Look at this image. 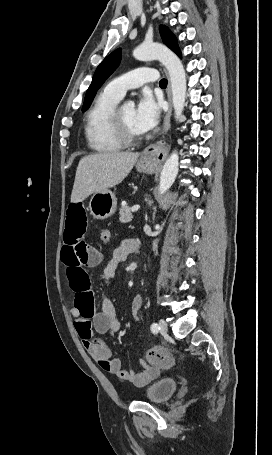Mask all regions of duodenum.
<instances>
[{"mask_svg": "<svg viewBox=\"0 0 272 455\" xmlns=\"http://www.w3.org/2000/svg\"><path fill=\"white\" fill-rule=\"evenodd\" d=\"M132 251H133V253H135L137 255L140 254V252H141L139 244L135 240H133V242H132Z\"/></svg>", "mask_w": 272, "mask_h": 455, "instance_id": "1", "label": "duodenum"}]
</instances>
